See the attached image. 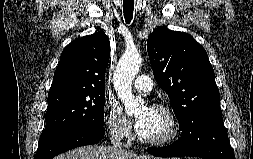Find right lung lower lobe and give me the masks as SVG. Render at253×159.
Here are the masks:
<instances>
[{
  "instance_id": "98d812e1",
  "label": "right lung lower lobe",
  "mask_w": 253,
  "mask_h": 159,
  "mask_svg": "<svg viewBox=\"0 0 253 159\" xmlns=\"http://www.w3.org/2000/svg\"><path fill=\"white\" fill-rule=\"evenodd\" d=\"M104 134L105 129L98 127H79L67 131L38 146L34 159H52L72 148L98 143Z\"/></svg>"
}]
</instances>
